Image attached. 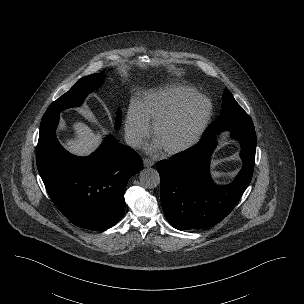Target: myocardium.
Here are the masks:
<instances>
[{"instance_id":"f54148a6","label":"myocardium","mask_w":304,"mask_h":304,"mask_svg":"<svg viewBox=\"0 0 304 304\" xmlns=\"http://www.w3.org/2000/svg\"><path fill=\"white\" fill-rule=\"evenodd\" d=\"M203 103L205 105V111L202 116V119L195 130V132L192 134V136L186 140L185 142L169 147V148H164V151L168 155H176L183 153L189 149H191L193 146H195L201 137L203 136L204 132L206 131L211 117L213 113V105L212 102L210 101L209 98H207L205 95L196 93L187 99H185L183 102H181L177 107L169 111L168 113L164 114L160 118H158L154 123H153V128H152V133H153V138L156 140L157 134L161 127L166 124L167 122L175 119L179 115H181L188 107H190L194 103Z\"/></svg>"}]
</instances>
